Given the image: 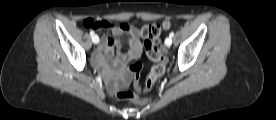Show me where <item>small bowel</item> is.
<instances>
[{
  "mask_svg": "<svg viewBox=\"0 0 276 120\" xmlns=\"http://www.w3.org/2000/svg\"><path fill=\"white\" fill-rule=\"evenodd\" d=\"M98 30H109L114 37L126 34V44L129 48L128 54L119 52L120 45L114 37H102L101 45L93 56V63L100 72L106 83L107 90L111 94H115L120 88L128 85L130 81L129 75L123 70L129 59L137 58L142 52V45L139 40L138 30L130 24L124 23L113 25L108 21H98ZM117 56L112 58L115 52ZM105 57L109 60H105ZM112 69H118L113 71Z\"/></svg>",
  "mask_w": 276,
  "mask_h": 120,
  "instance_id": "c3829d8e",
  "label": "small bowel"
}]
</instances>
